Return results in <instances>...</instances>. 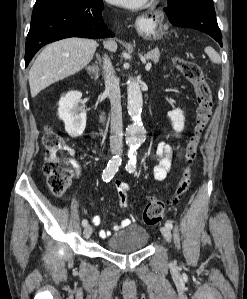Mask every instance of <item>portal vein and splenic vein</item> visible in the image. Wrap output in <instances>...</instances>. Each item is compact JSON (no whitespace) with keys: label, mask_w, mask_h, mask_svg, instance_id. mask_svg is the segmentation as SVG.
<instances>
[{"label":"portal vein and splenic vein","mask_w":247,"mask_h":299,"mask_svg":"<svg viewBox=\"0 0 247 299\" xmlns=\"http://www.w3.org/2000/svg\"><path fill=\"white\" fill-rule=\"evenodd\" d=\"M145 68H146L147 71H149V70L151 69V63L148 62V63L146 64V67H145Z\"/></svg>","instance_id":"obj_1"}]
</instances>
